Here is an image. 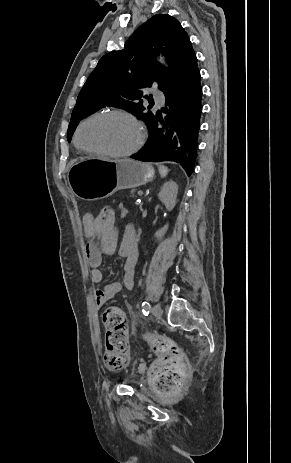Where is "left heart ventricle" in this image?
<instances>
[{"label": "left heart ventricle", "mask_w": 291, "mask_h": 463, "mask_svg": "<svg viewBox=\"0 0 291 463\" xmlns=\"http://www.w3.org/2000/svg\"><path fill=\"white\" fill-rule=\"evenodd\" d=\"M137 138L134 125L120 116L95 118L86 123L81 131V145L91 149L123 151L131 148Z\"/></svg>", "instance_id": "left-heart-ventricle-1"}]
</instances>
